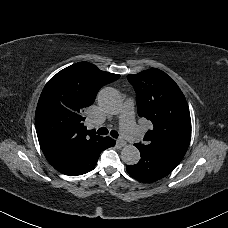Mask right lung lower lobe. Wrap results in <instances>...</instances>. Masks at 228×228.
<instances>
[{
	"label": "right lung lower lobe",
	"instance_id": "1",
	"mask_svg": "<svg viewBox=\"0 0 228 228\" xmlns=\"http://www.w3.org/2000/svg\"><path fill=\"white\" fill-rule=\"evenodd\" d=\"M114 145L115 141L110 137L103 138L98 144L80 148L52 166L59 172L70 176L85 174L94 169L100 153Z\"/></svg>",
	"mask_w": 228,
	"mask_h": 228
}]
</instances>
